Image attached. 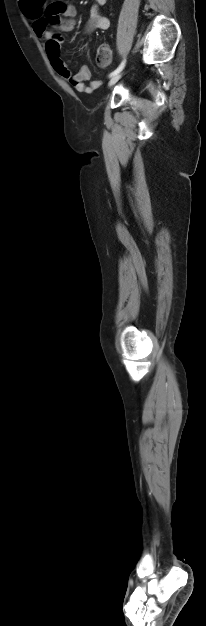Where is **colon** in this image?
I'll return each mask as SVG.
<instances>
[{"instance_id": "5ec220e1", "label": "colon", "mask_w": 206, "mask_h": 626, "mask_svg": "<svg viewBox=\"0 0 206 626\" xmlns=\"http://www.w3.org/2000/svg\"><path fill=\"white\" fill-rule=\"evenodd\" d=\"M96 60L100 65H107L111 60V49L107 45H101L96 54Z\"/></svg>"}]
</instances>
